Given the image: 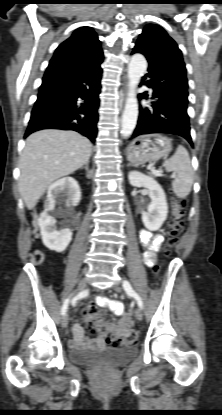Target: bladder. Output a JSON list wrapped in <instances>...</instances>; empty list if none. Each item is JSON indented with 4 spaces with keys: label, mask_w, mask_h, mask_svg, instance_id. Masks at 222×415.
Instances as JSON below:
<instances>
[{
    "label": "bladder",
    "mask_w": 222,
    "mask_h": 415,
    "mask_svg": "<svg viewBox=\"0 0 222 415\" xmlns=\"http://www.w3.org/2000/svg\"><path fill=\"white\" fill-rule=\"evenodd\" d=\"M138 353L135 344H126L120 347H104L100 349H82L71 347L68 358L71 362L82 365H90L105 362L119 366L133 360Z\"/></svg>",
    "instance_id": "1"
}]
</instances>
